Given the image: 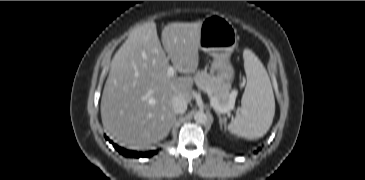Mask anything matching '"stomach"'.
Here are the masks:
<instances>
[{
  "label": "stomach",
  "instance_id": "stomach-1",
  "mask_svg": "<svg viewBox=\"0 0 365 180\" xmlns=\"http://www.w3.org/2000/svg\"><path fill=\"white\" fill-rule=\"evenodd\" d=\"M237 30L221 16H207L200 26L199 47L213 57L210 72L229 84L234 78L230 56L237 46Z\"/></svg>",
  "mask_w": 365,
  "mask_h": 180
}]
</instances>
